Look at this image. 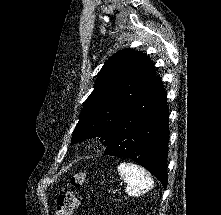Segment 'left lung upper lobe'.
<instances>
[{
    "label": "left lung upper lobe",
    "instance_id": "5c2ea615",
    "mask_svg": "<svg viewBox=\"0 0 221 215\" xmlns=\"http://www.w3.org/2000/svg\"><path fill=\"white\" fill-rule=\"evenodd\" d=\"M156 76L154 64L144 53L124 49L111 56L84 103L71 143L100 137L107 145L116 125Z\"/></svg>",
    "mask_w": 221,
    "mask_h": 215
}]
</instances>
